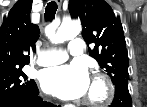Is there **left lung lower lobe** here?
Segmentation results:
<instances>
[{
    "label": "left lung lower lobe",
    "mask_w": 147,
    "mask_h": 107,
    "mask_svg": "<svg viewBox=\"0 0 147 107\" xmlns=\"http://www.w3.org/2000/svg\"><path fill=\"white\" fill-rule=\"evenodd\" d=\"M110 107H132L128 81H121L115 85V97Z\"/></svg>",
    "instance_id": "obj_1"
}]
</instances>
